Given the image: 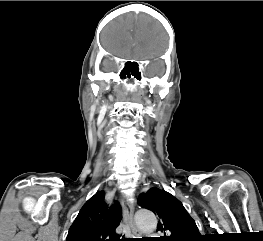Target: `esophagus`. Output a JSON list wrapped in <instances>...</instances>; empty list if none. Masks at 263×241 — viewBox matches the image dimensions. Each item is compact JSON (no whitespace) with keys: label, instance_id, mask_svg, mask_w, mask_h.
Here are the masks:
<instances>
[{"label":"esophagus","instance_id":"obj_1","mask_svg":"<svg viewBox=\"0 0 263 241\" xmlns=\"http://www.w3.org/2000/svg\"><path fill=\"white\" fill-rule=\"evenodd\" d=\"M121 204L123 208V219L124 222L129 226L132 235L134 237H140L141 233L135 226L134 220H133V214H134V205L132 201H129L126 199L125 196L121 197Z\"/></svg>","mask_w":263,"mask_h":241}]
</instances>
